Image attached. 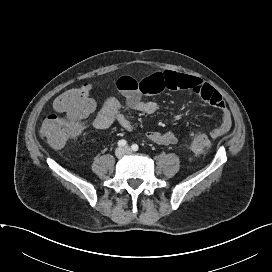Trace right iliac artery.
Wrapping results in <instances>:
<instances>
[{"mask_svg": "<svg viewBox=\"0 0 272 272\" xmlns=\"http://www.w3.org/2000/svg\"><path fill=\"white\" fill-rule=\"evenodd\" d=\"M127 144V142L125 141V140H119V142H118V146H120V147H123V146H125Z\"/></svg>", "mask_w": 272, "mask_h": 272, "instance_id": "82829eb1", "label": "right iliac artery"}]
</instances>
